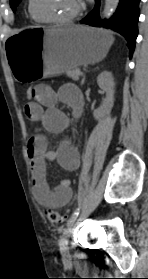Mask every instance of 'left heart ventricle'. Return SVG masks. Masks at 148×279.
I'll return each mask as SVG.
<instances>
[{
    "label": "left heart ventricle",
    "mask_w": 148,
    "mask_h": 279,
    "mask_svg": "<svg viewBox=\"0 0 148 279\" xmlns=\"http://www.w3.org/2000/svg\"><path fill=\"white\" fill-rule=\"evenodd\" d=\"M80 0H34V11L39 17L61 18L72 14Z\"/></svg>",
    "instance_id": "1"
}]
</instances>
